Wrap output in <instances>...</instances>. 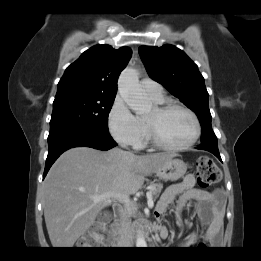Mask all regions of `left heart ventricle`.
Segmentation results:
<instances>
[{
  "label": "left heart ventricle",
  "mask_w": 261,
  "mask_h": 261,
  "mask_svg": "<svg viewBox=\"0 0 261 261\" xmlns=\"http://www.w3.org/2000/svg\"><path fill=\"white\" fill-rule=\"evenodd\" d=\"M156 129L159 138L170 145H182L188 142L194 134L192 118L180 109H172L164 114H159L153 108L146 116Z\"/></svg>",
  "instance_id": "obj_1"
}]
</instances>
